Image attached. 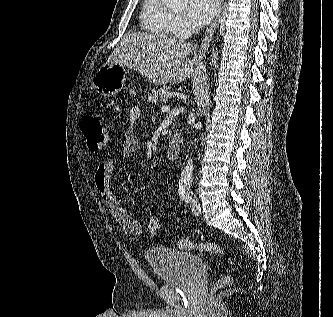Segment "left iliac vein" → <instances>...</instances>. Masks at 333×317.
Masks as SVG:
<instances>
[{"instance_id":"left-iliac-vein-1","label":"left iliac vein","mask_w":333,"mask_h":317,"mask_svg":"<svg viewBox=\"0 0 333 317\" xmlns=\"http://www.w3.org/2000/svg\"><path fill=\"white\" fill-rule=\"evenodd\" d=\"M190 208L194 215H197V216L200 215V213H201L200 203L196 196L193 197Z\"/></svg>"}]
</instances>
